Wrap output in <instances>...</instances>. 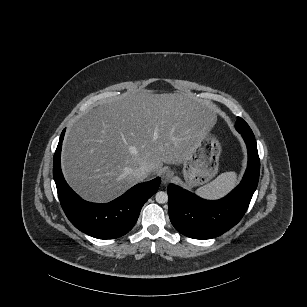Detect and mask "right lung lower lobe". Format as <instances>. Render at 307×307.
<instances>
[{
  "label": "right lung lower lobe",
  "mask_w": 307,
  "mask_h": 307,
  "mask_svg": "<svg viewBox=\"0 0 307 307\" xmlns=\"http://www.w3.org/2000/svg\"><path fill=\"white\" fill-rule=\"evenodd\" d=\"M63 130L53 158V177L61 206L80 231L98 238L114 239L128 233L135 225L144 203L157 192L160 178L135 185L122 196L107 204L81 199L66 183L60 165Z\"/></svg>",
  "instance_id": "1"
}]
</instances>
